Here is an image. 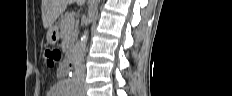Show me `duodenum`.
I'll return each instance as SVG.
<instances>
[{
    "instance_id": "1",
    "label": "duodenum",
    "mask_w": 232,
    "mask_h": 96,
    "mask_svg": "<svg viewBox=\"0 0 232 96\" xmlns=\"http://www.w3.org/2000/svg\"><path fill=\"white\" fill-rule=\"evenodd\" d=\"M73 66H74V55H73V51L71 50L68 54L65 64L62 67L61 73L66 76L69 73V71L73 68Z\"/></svg>"
}]
</instances>
